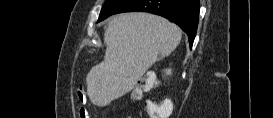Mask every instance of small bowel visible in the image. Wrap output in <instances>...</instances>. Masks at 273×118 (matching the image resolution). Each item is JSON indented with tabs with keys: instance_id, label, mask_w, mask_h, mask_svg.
Segmentation results:
<instances>
[{
	"instance_id": "1",
	"label": "small bowel",
	"mask_w": 273,
	"mask_h": 118,
	"mask_svg": "<svg viewBox=\"0 0 273 118\" xmlns=\"http://www.w3.org/2000/svg\"><path fill=\"white\" fill-rule=\"evenodd\" d=\"M78 99L81 103H85L87 101L86 93L83 89L79 90ZM79 115L80 118H88V112L85 108H80Z\"/></svg>"
}]
</instances>
